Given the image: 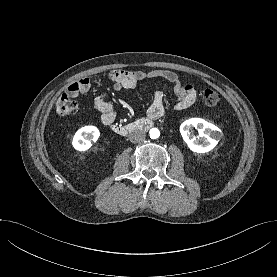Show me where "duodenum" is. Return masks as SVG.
<instances>
[{"mask_svg": "<svg viewBox=\"0 0 277 277\" xmlns=\"http://www.w3.org/2000/svg\"><path fill=\"white\" fill-rule=\"evenodd\" d=\"M154 125V119L145 117L128 124H111V129L119 135H129L138 131H147Z\"/></svg>", "mask_w": 277, "mask_h": 277, "instance_id": "410a0bca", "label": "duodenum"}]
</instances>
